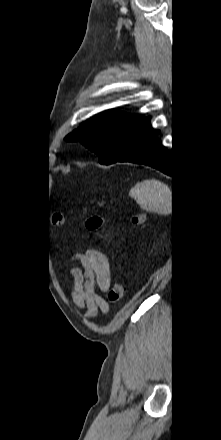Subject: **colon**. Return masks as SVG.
Returning <instances> with one entry per match:
<instances>
[{
  "mask_svg": "<svg viewBox=\"0 0 221 440\" xmlns=\"http://www.w3.org/2000/svg\"><path fill=\"white\" fill-rule=\"evenodd\" d=\"M52 220L55 224L60 225L64 223V215L60 212L53 214ZM130 224L133 226H141L145 222V213L142 211H135L130 215ZM102 219L100 218H90L86 221V228L90 231H95L102 225ZM124 287L123 285L115 281L108 291V299L112 303H119L124 297Z\"/></svg>",
  "mask_w": 221,
  "mask_h": 440,
  "instance_id": "5ec220e1",
  "label": "colon"
}]
</instances>
